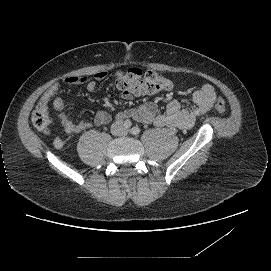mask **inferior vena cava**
<instances>
[{
    "instance_id": "602c4592",
    "label": "inferior vena cava",
    "mask_w": 271,
    "mask_h": 271,
    "mask_svg": "<svg viewBox=\"0 0 271 271\" xmlns=\"http://www.w3.org/2000/svg\"><path fill=\"white\" fill-rule=\"evenodd\" d=\"M111 132L114 136L116 137H121L125 134L126 132V127L123 123L121 122H116L112 125L111 127Z\"/></svg>"
}]
</instances>
